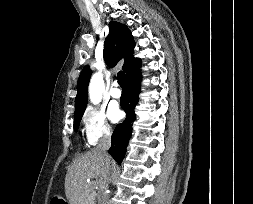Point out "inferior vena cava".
<instances>
[{"mask_svg": "<svg viewBox=\"0 0 253 204\" xmlns=\"http://www.w3.org/2000/svg\"><path fill=\"white\" fill-rule=\"evenodd\" d=\"M111 146V132L110 130H107L103 137L100 139L99 144L97 146V149L102 153V155L106 159V166L104 173L102 174L101 180H100V189L98 192V204H106L108 199L107 189H108V177L111 173L112 167L109 162V155L107 153V150Z\"/></svg>", "mask_w": 253, "mask_h": 204, "instance_id": "1", "label": "inferior vena cava"}]
</instances>
